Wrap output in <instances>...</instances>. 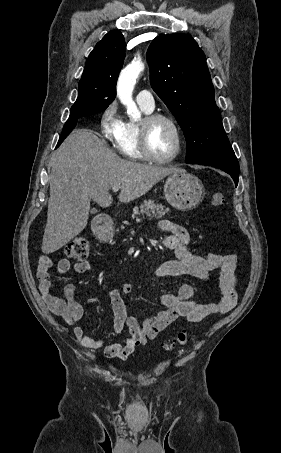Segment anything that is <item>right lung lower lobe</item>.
Instances as JSON below:
<instances>
[{
	"label": "right lung lower lobe",
	"mask_w": 281,
	"mask_h": 453,
	"mask_svg": "<svg viewBox=\"0 0 281 453\" xmlns=\"http://www.w3.org/2000/svg\"><path fill=\"white\" fill-rule=\"evenodd\" d=\"M100 111L94 110L90 106H84V107H79V108H71L70 111V117L65 123V126L63 127V131L61 134V137L58 141V144L56 148L60 146V144L63 142V140L71 133V131L75 128L77 121L81 117H87L96 113H99Z\"/></svg>",
	"instance_id": "98d812e1"
}]
</instances>
